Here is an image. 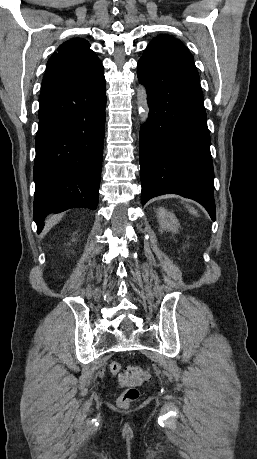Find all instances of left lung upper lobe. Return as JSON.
<instances>
[{
  "label": "left lung upper lobe",
  "instance_id": "left-lung-upper-lobe-1",
  "mask_svg": "<svg viewBox=\"0 0 257 459\" xmlns=\"http://www.w3.org/2000/svg\"><path fill=\"white\" fill-rule=\"evenodd\" d=\"M143 55L155 56L163 59H193L189 50L177 39L168 35L154 38L145 49Z\"/></svg>",
  "mask_w": 257,
  "mask_h": 459
}]
</instances>
